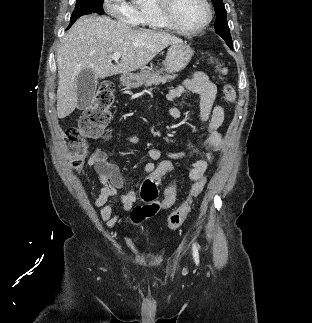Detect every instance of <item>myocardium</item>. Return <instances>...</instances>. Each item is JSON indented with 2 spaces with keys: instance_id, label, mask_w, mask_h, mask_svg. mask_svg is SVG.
Segmentation results:
<instances>
[{
  "instance_id": "1",
  "label": "myocardium",
  "mask_w": 312,
  "mask_h": 323,
  "mask_svg": "<svg viewBox=\"0 0 312 323\" xmlns=\"http://www.w3.org/2000/svg\"><path fill=\"white\" fill-rule=\"evenodd\" d=\"M201 13H205L204 20H176L171 12L170 0H159L158 9L164 15V22L170 25V31H206L207 25H211L215 11L208 0H198Z\"/></svg>"
}]
</instances>
